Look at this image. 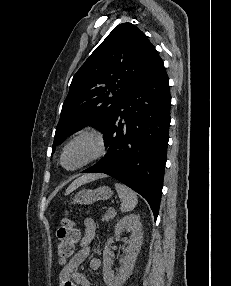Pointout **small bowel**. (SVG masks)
Masks as SVG:
<instances>
[{
	"mask_svg": "<svg viewBox=\"0 0 231 286\" xmlns=\"http://www.w3.org/2000/svg\"><path fill=\"white\" fill-rule=\"evenodd\" d=\"M95 232V220L86 218L84 220V231L79 250L61 270L59 274V286H94L83 273L79 272V267L90 254V243L95 236ZM100 266L101 261L98 258L91 259L90 269L93 272L98 271Z\"/></svg>",
	"mask_w": 231,
	"mask_h": 286,
	"instance_id": "1",
	"label": "small bowel"
}]
</instances>
